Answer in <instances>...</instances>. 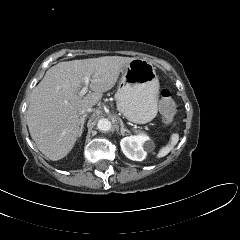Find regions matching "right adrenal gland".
<instances>
[{"label": "right adrenal gland", "instance_id": "obj_1", "mask_svg": "<svg viewBox=\"0 0 240 240\" xmlns=\"http://www.w3.org/2000/svg\"><path fill=\"white\" fill-rule=\"evenodd\" d=\"M86 116L87 114L83 115L81 117V122H80V130H79V134H78V137H80L83 133V129H84V123H85V120H86Z\"/></svg>", "mask_w": 240, "mask_h": 240}]
</instances>
